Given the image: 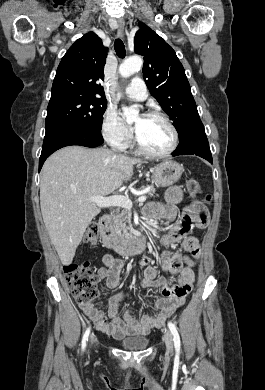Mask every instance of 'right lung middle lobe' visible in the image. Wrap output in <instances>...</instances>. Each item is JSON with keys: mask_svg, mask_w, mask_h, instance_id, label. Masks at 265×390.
<instances>
[{"mask_svg": "<svg viewBox=\"0 0 265 390\" xmlns=\"http://www.w3.org/2000/svg\"><path fill=\"white\" fill-rule=\"evenodd\" d=\"M106 99L93 96H65L49 101L47 122H71L101 132Z\"/></svg>", "mask_w": 265, "mask_h": 390, "instance_id": "1", "label": "right lung middle lobe"}]
</instances>
